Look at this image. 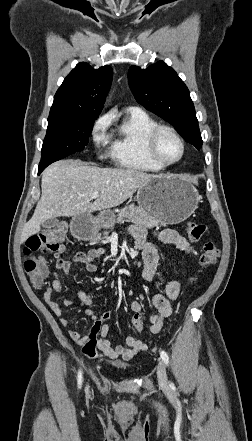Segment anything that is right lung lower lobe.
<instances>
[{"instance_id": "right-lung-lower-lobe-1", "label": "right lung lower lobe", "mask_w": 252, "mask_h": 441, "mask_svg": "<svg viewBox=\"0 0 252 441\" xmlns=\"http://www.w3.org/2000/svg\"><path fill=\"white\" fill-rule=\"evenodd\" d=\"M44 168H45V167H40V166H39L38 173L42 172V170H43Z\"/></svg>"}]
</instances>
